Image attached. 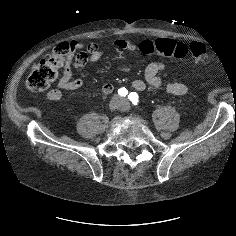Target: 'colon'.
<instances>
[{"mask_svg":"<svg viewBox=\"0 0 236 236\" xmlns=\"http://www.w3.org/2000/svg\"><path fill=\"white\" fill-rule=\"evenodd\" d=\"M140 51L145 55L159 53L175 59L183 58L190 51L196 63H206L209 60L205 45L197 41H192L187 46L170 39L154 42L147 40L142 43ZM72 52L67 43L56 46L49 57L32 67L27 78V88L32 92L47 89L58 78L60 71L70 63Z\"/></svg>","mask_w":236,"mask_h":236,"instance_id":"1","label":"colon"}]
</instances>
